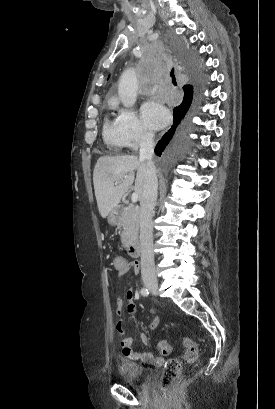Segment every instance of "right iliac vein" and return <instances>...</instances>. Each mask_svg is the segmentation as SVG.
<instances>
[{"instance_id": "63e3f726", "label": "right iliac vein", "mask_w": 275, "mask_h": 409, "mask_svg": "<svg viewBox=\"0 0 275 409\" xmlns=\"http://www.w3.org/2000/svg\"><path fill=\"white\" fill-rule=\"evenodd\" d=\"M145 286L154 294H158V283L146 281Z\"/></svg>"}]
</instances>
